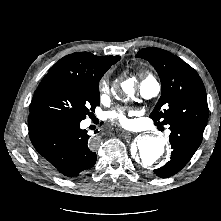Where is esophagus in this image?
<instances>
[{
	"label": "esophagus",
	"mask_w": 221,
	"mask_h": 221,
	"mask_svg": "<svg viewBox=\"0 0 221 221\" xmlns=\"http://www.w3.org/2000/svg\"><path fill=\"white\" fill-rule=\"evenodd\" d=\"M123 133H124V136L126 137L127 135H129L130 133L129 132H127V131H123Z\"/></svg>",
	"instance_id": "esophagus-1"
}]
</instances>
